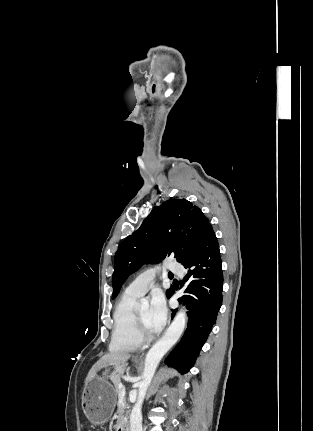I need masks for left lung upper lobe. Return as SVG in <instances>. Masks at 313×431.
Here are the masks:
<instances>
[{
    "mask_svg": "<svg viewBox=\"0 0 313 431\" xmlns=\"http://www.w3.org/2000/svg\"><path fill=\"white\" fill-rule=\"evenodd\" d=\"M209 225L202 211L186 199H171L155 207L115 254L112 299L143 264L159 263L170 255L181 264L190 259ZM172 290H167V297Z\"/></svg>",
    "mask_w": 313,
    "mask_h": 431,
    "instance_id": "5c2ea615",
    "label": "left lung upper lobe"
}]
</instances>
